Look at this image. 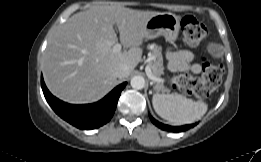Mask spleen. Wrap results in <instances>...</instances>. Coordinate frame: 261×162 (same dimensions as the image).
Wrapping results in <instances>:
<instances>
[{"label": "spleen", "instance_id": "1", "mask_svg": "<svg viewBox=\"0 0 261 162\" xmlns=\"http://www.w3.org/2000/svg\"><path fill=\"white\" fill-rule=\"evenodd\" d=\"M152 104L161 118L177 125L201 119L208 109L205 102L193 101L179 94L156 93L153 95Z\"/></svg>", "mask_w": 261, "mask_h": 162}]
</instances>
